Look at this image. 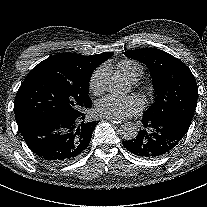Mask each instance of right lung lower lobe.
<instances>
[{
  "label": "right lung lower lobe",
  "mask_w": 207,
  "mask_h": 207,
  "mask_svg": "<svg viewBox=\"0 0 207 207\" xmlns=\"http://www.w3.org/2000/svg\"><path fill=\"white\" fill-rule=\"evenodd\" d=\"M85 114L78 117H48L18 124L27 146L42 160L66 164L87 149L96 121L88 122Z\"/></svg>",
  "instance_id": "98d812e1"
}]
</instances>
